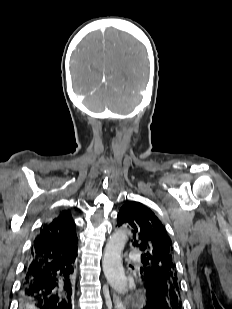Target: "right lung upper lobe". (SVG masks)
I'll list each match as a JSON object with an SVG mask.
<instances>
[{"label":"right lung upper lobe","instance_id":"obj_1","mask_svg":"<svg viewBox=\"0 0 232 309\" xmlns=\"http://www.w3.org/2000/svg\"><path fill=\"white\" fill-rule=\"evenodd\" d=\"M77 242L72 216L68 211H62L40 228L31 247L29 261L40 266L53 259H69L77 255Z\"/></svg>","mask_w":232,"mask_h":309}]
</instances>
